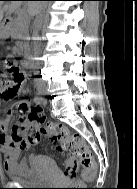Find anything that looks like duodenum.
<instances>
[{"instance_id": "duodenum-1", "label": "duodenum", "mask_w": 137, "mask_h": 189, "mask_svg": "<svg viewBox=\"0 0 137 189\" xmlns=\"http://www.w3.org/2000/svg\"><path fill=\"white\" fill-rule=\"evenodd\" d=\"M11 25H12L11 19H8V20L5 21V27L8 30V32H10V30H11Z\"/></svg>"}]
</instances>
